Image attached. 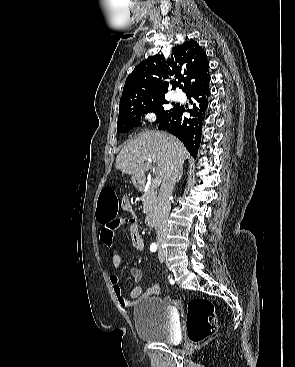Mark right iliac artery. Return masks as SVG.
<instances>
[{
	"label": "right iliac artery",
	"instance_id": "1",
	"mask_svg": "<svg viewBox=\"0 0 295 367\" xmlns=\"http://www.w3.org/2000/svg\"><path fill=\"white\" fill-rule=\"evenodd\" d=\"M150 250H151L152 252H155V251L157 250V245H156V244H152V245L150 246Z\"/></svg>",
	"mask_w": 295,
	"mask_h": 367
}]
</instances>
